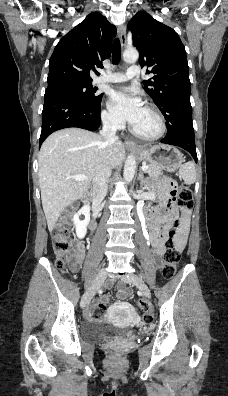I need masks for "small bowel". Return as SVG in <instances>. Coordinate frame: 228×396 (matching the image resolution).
<instances>
[{
    "instance_id": "small-bowel-1",
    "label": "small bowel",
    "mask_w": 228,
    "mask_h": 396,
    "mask_svg": "<svg viewBox=\"0 0 228 396\" xmlns=\"http://www.w3.org/2000/svg\"><path fill=\"white\" fill-rule=\"evenodd\" d=\"M160 195L162 199V206L157 209H153L149 216H153L160 220L159 223V232L157 235L153 236L152 239V246L154 248V255L157 259H159L164 250V241L166 239V235L168 230L172 226L173 218L176 213V209L171 202L169 192H168V185L164 183L160 187ZM189 232V213L185 212L182 217L181 225L178 227L176 232V243L179 249H183L186 245L187 237ZM85 252L84 244L81 241L76 243V250H75V259L72 264L73 269H77L79 264L81 263ZM112 282L107 283V287H110ZM118 298L121 299L116 305L113 306L114 309L125 306V303L122 301L126 297L130 295V291L122 284L118 283ZM102 305H107L109 303V297L107 295H103L100 299ZM93 306V305H92ZM91 306V307H92ZM88 318L91 317L90 311L86 313Z\"/></svg>"
}]
</instances>
